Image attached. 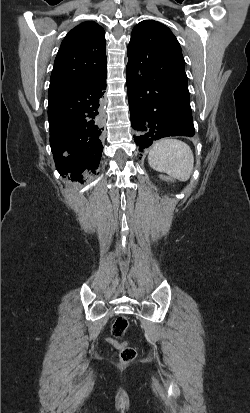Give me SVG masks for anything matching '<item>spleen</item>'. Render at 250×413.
Wrapping results in <instances>:
<instances>
[{
	"label": "spleen",
	"instance_id": "3e777b00",
	"mask_svg": "<svg viewBox=\"0 0 250 413\" xmlns=\"http://www.w3.org/2000/svg\"><path fill=\"white\" fill-rule=\"evenodd\" d=\"M149 165L179 181H187L193 171L194 156L183 141L166 138L156 142L148 154Z\"/></svg>",
	"mask_w": 250,
	"mask_h": 413
}]
</instances>
